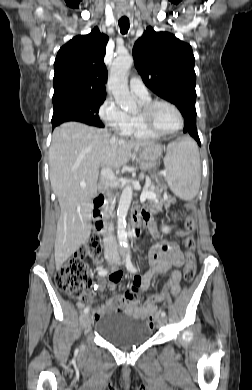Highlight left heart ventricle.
I'll list each match as a JSON object with an SVG mask.
<instances>
[{"label": "left heart ventricle", "instance_id": "left-heart-ventricle-1", "mask_svg": "<svg viewBox=\"0 0 252 390\" xmlns=\"http://www.w3.org/2000/svg\"><path fill=\"white\" fill-rule=\"evenodd\" d=\"M152 118L155 127L162 131L173 130L179 123L178 116L175 111L165 104H159L155 108Z\"/></svg>", "mask_w": 252, "mask_h": 390}]
</instances>
